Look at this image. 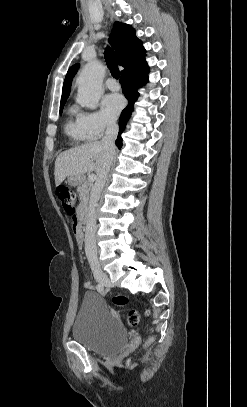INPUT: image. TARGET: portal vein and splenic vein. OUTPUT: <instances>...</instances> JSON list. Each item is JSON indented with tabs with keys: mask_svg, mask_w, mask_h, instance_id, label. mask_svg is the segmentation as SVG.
Segmentation results:
<instances>
[{
	"mask_svg": "<svg viewBox=\"0 0 247 407\" xmlns=\"http://www.w3.org/2000/svg\"><path fill=\"white\" fill-rule=\"evenodd\" d=\"M96 178H97V177H96L95 174H91V175L88 176V181H89V182H94V181L96 180Z\"/></svg>",
	"mask_w": 247,
	"mask_h": 407,
	"instance_id": "1",
	"label": "portal vein and splenic vein"
}]
</instances>
